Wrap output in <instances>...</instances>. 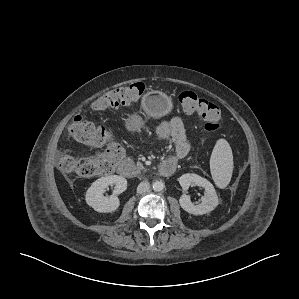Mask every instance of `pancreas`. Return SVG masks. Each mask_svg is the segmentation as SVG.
<instances>
[{
    "mask_svg": "<svg viewBox=\"0 0 299 299\" xmlns=\"http://www.w3.org/2000/svg\"><path fill=\"white\" fill-rule=\"evenodd\" d=\"M144 167L141 163H137V171L140 172V170H143Z\"/></svg>",
    "mask_w": 299,
    "mask_h": 299,
    "instance_id": "1",
    "label": "pancreas"
}]
</instances>
